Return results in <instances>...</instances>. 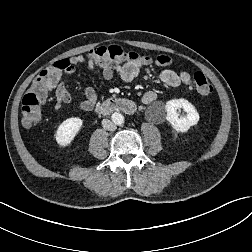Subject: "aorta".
Returning a JSON list of instances; mask_svg holds the SVG:
<instances>
[{"label": "aorta", "mask_w": 252, "mask_h": 252, "mask_svg": "<svg viewBox=\"0 0 252 252\" xmlns=\"http://www.w3.org/2000/svg\"><path fill=\"white\" fill-rule=\"evenodd\" d=\"M111 118H112L113 123H115L116 125L121 126L124 124V121H125L124 116L119 112L113 113Z\"/></svg>", "instance_id": "obj_1"}]
</instances>
